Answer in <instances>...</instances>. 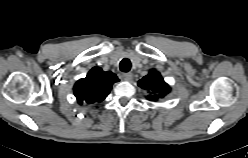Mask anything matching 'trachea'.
I'll list each match as a JSON object with an SVG mask.
<instances>
[{
  "label": "trachea",
  "mask_w": 248,
  "mask_h": 158,
  "mask_svg": "<svg viewBox=\"0 0 248 158\" xmlns=\"http://www.w3.org/2000/svg\"><path fill=\"white\" fill-rule=\"evenodd\" d=\"M130 69H131L130 60L127 58L122 59V61L120 62V70L122 72H128V71H130Z\"/></svg>",
  "instance_id": "3493384b"
}]
</instances>
